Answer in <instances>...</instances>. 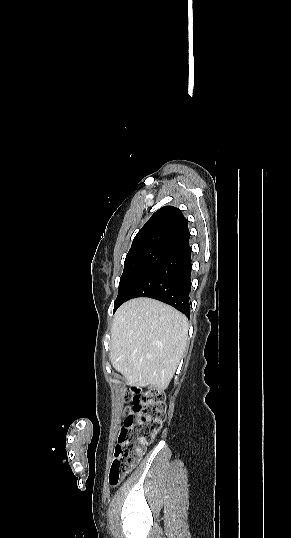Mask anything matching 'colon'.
<instances>
[{
  "instance_id": "colon-1",
  "label": "colon",
  "mask_w": 291,
  "mask_h": 538,
  "mask_svg": "<svg viewBox=\"0 0 291 538\" xmlns=\"http://www.w3.org/2000/svg\"><path fill=\"white\" fill-rule=\"evenodd\" d=\"M131 406L127 408L119 432L108 482L117 486L139 461L146 446L158 435L165 420V396L157 389H134L126 395Z\"/></svg>"
}]
</instances>
